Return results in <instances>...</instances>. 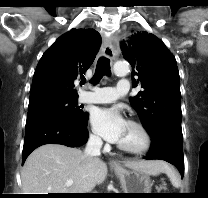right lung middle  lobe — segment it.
Instances as JSON below:
<instances>
[{
    "mask_svg": "<svg viewBox=\"0 0 208 198\" xmlns=\"http://www.w3.org/2000/svg\"><path fill=\"white\" fill-rule=\"evenodd\" d=\"M46 116H61L82 125L88 122V113L77 106V99L54 100L28 107L26 123Z\"/></svg>",
    "mask_w": 208,
    "mask_h": 198,
    "instance_id": "1",
    "label": "right lung middle lobe"
}]
</instances>
